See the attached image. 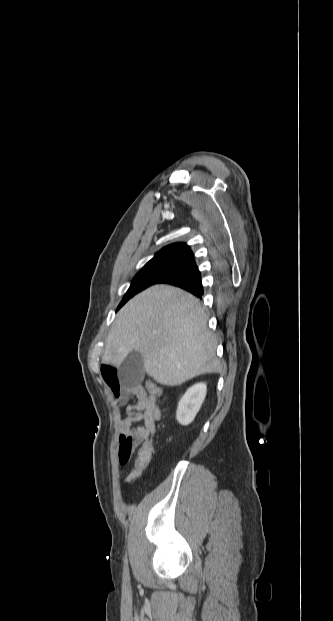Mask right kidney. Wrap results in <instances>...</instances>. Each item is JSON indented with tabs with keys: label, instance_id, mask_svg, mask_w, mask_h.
I'll return each mask as SVG.
<instances>
[{
	"label": "right kidney",
	"instance_id": "obj_1",
	"mask_svg": "<svg viewBox=\"0 0 333 621\" xmlns=\"http://www.w3.org/2000/svg\"><path fill=\"white\" fill-rule=\"evenodd\" d=\"M206 392V384L197 383L182 396L176 412V419L181 425H189L194 420L206 397Z\"/></svg>",
	"mask_w": 333,
	"mask_h": 621
}]
</instances>
